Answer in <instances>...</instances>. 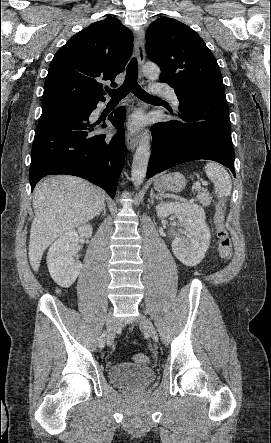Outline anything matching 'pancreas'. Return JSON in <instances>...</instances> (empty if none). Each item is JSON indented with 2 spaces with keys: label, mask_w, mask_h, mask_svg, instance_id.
Here are the masks:
<instances>
[{
  "label": "pancreas",
  "mask_w": 271,
  "mask_h": 443,
  "mask_svg": "<svg viewBox=\"0 0 271 443\" xmlns=\"http://www.w3.org/2000/svg\"><path fill=\"white\" fill-rule=\"evenodd\" d=\"M197 198L199 204H202V206H210L212 198L207 190H202V192H198Z\"/></svg>",
  "instance_id": "1"
}]
</instances>
